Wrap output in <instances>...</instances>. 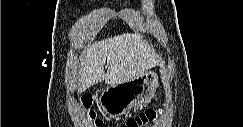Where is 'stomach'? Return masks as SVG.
I'll use <instances>...</instances> for the list:
<instances>
[{"mask_svg":"<svg viewBox=\"0 0 243 127\" xmlns=\"http://www.w3.org/2000/svg\"><path fill=\"white\" fill-rule=\"evenodd\" d=\"M158 86V75L150 68L134 79L108 86L101 93L99 104L105 114L121 116L133 107L150 102Z\"/></svg>","mask_w":243,"mask_h":127,"instance_id":"0dacf381","label":"stomach"}]
</instances>
